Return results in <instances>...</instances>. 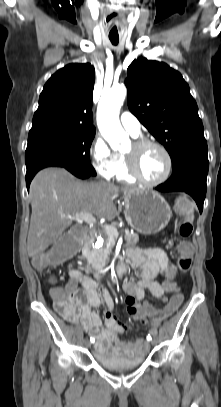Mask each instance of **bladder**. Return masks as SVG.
<instances>
[{
  "instance_id": "bladder-1",
  "label": "bladder",
  "mask_w": 221,
  "mask_h": 407,
  "mask_svg": "<svg viewBox=\"0 0 221 407\" xmlns=\"http://www.w3.org/2000/svg\"><path fill=\"white\" fill-rule=\"evenodd\" d=\"M96 362L105 369L111 371H123L135 369L144 362V355H137L132 358H125L118 355H109L96 352L94 354Z\"/></svg>"
}]
</instances>
